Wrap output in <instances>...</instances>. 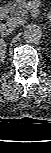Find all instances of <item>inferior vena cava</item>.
I'll return each instance as SVG.
<instances>
[{"label": "inferior vena cava", "mask_w": 51, "mask_h": 153, "mask_svg": "<svg viewBox=\"0 0 51 153\" xmlns=\"http://www.w3.org/2000/svg\"><path fill=\"white\" fill-rule=\"evenodd\" d=\"M25 24V20L20 17H11L6 21V26L10 29L21 27Z\"/></svg>", "instance_id": "602c4592"}]
</instances>
